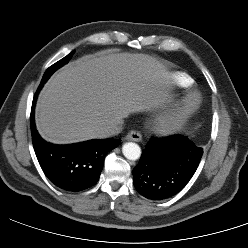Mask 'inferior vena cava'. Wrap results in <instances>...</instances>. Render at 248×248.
Here are the masks:
<instances>
[{"label": "inferior vena cava", "instance_id": "602c4592", "mask_svg": "<svg viewBox=\"0 0 248 248\" xmlns=\"http://www.w3.org/2000/svg\"><path fill=\"white\" fill-rule=\"evenodd\" d=\"M122 131L121 124H112L106 129V137L119 134Z\"/></svg>", "mask_w": 248, "mask_h": 248}]
</instances>
